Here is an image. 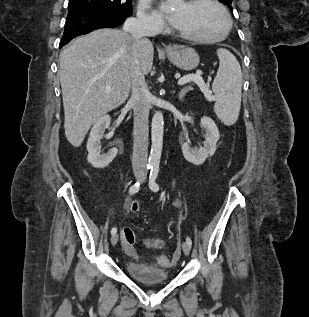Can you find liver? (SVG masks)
I'll use <instances>...</instances> for the list:
<instances>
[{
	"label": "liver",
	"instance_id": "1",
	"mask_svg": "<svg viewBox=\"0 0 309 317\" xmlns=\"http://www.w3.org/2000/svg\"><path fill=\"white\" fill-rule=\"evenodd\" d=\"M153 56L150 40H134L119 29L93 31L78 37L61 52L59 78L64 129L74 147L81 145L99 118L126 101L135 58L143 74H148Z\"/></svg>",
	"mask_w": 309,
	"mask_h": 317
}]
</instances>
